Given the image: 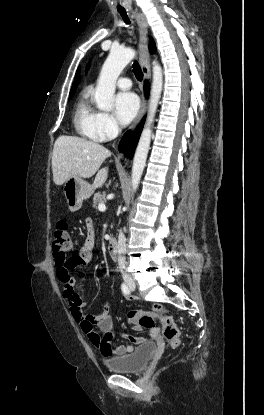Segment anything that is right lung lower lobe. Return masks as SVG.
I'll use <instances>...</instances> for the list:
<instances>
[{"instance_id":"right-lung-lower-lobe-1","label":"right lung lower lobe","mask_w":264,"mask_h":415,"mask_svg":"<svg viewBox=\"0 0 264 415\" xmlns=\"http://www.w3.org/2000/svg\"><path fill=\"white\" fill-rule=\"evenodd\" d=\"M145 93L148 95L149 93V84L146 83L145 84ZM144 120L145 118L141 121V123L139 124V126L136 128V130L131 133L130 131H128L122 138L121 142H120V150L121 151H125L126 155L129 157L133 156L134 150L136 148L137 142L139 140L142 128H143V124H144Z\"/></svg>"}]
</instances>
